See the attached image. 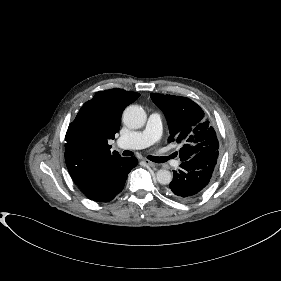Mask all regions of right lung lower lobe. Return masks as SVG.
Segmentation results:
<instances>
[{"label":"right lung lower lobe","instance_id":"1","mask_svg":"<svg viewBox=\"0 0 281 281\" xmlns=\"http://www.w3.org/2000/svg\"><path fill=\"white\" fill-rule=\"evenodd\" d=\"M138 164L136 157H120L101 170L88 184L80 189L87 198L98 201H111L124 187L128 173Z\"/></svg>","mask_w":281,"mask_h":281}]
</instances>
